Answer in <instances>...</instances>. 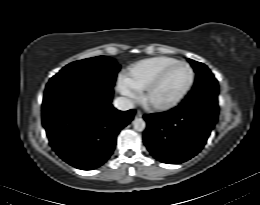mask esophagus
<instances>
[{
	"instance_id": "34e87169",
	"label": "esophagus",
	"mask_w": 260,
	"mask_h": 205,
	"mask_svg": "<svg viewBox=\"0 0 260 205\" xmlns=\"http://www.w3.org/2000/svg\"><path fill=\"white\" fill-rule=\"evenodd\" d=\"M142 112L140 110H137L136 111V117H142Z\"/></svg>"
}]
</instances>
